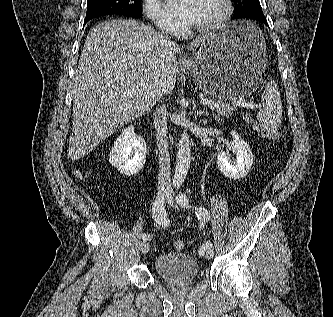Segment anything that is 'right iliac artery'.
Returning a JSON list of instances; mask_svg holds the SVG:
<instances>
[{
	"mask_svg": "<svg viewBox=\"0 0 333 317\" xmlns=\"http://www.w3.org/2000/svg\"><path fill=\"white\" fill-rule=\"evenodd\" d=\"M153 217L160 226L165 228L169 225V219L164 208L163 199H161V197H157L154 202ZM142 238L144 241H148L151 239V236L147 233H144Z\"/></svg>",
	"mask_w": 333,
	"mask_h": 317,
	"instance_id": "right-iliac-artery-1",
	"label": "right iliac artery"
}]
</instances>
